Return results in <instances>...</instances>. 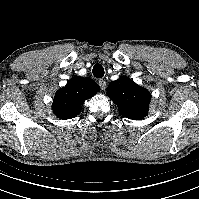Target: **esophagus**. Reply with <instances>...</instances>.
Wrapping results in <instances>:
<instances>
[{
  "label": "esophagus",
  "instance_id": "1",
  "mask_svg": "<svg viewBox=\"0 0 199 199\" xmlns=\"http://www.w3.org/2000/svg\"><path fill=\"white\" fill-rule=\"evenodd\" d=\"M98 84H99V86H100L101 90H103V91H104V90L106 89L107 83H106V81H105V80L100 79V80L98 81Z\"/></svg>",
  "mask_w": 199,
  "mask_h": 199
}]
</instances>
